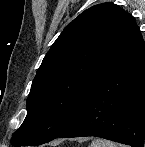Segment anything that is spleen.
Listing matches in <instances>:
<instances>
[{"label":"spleen","instance_id":"obj_1","mask_svg":"<svg viewBox=\"0 0 145 147\" xmlns=\"http://www.w3.org/2000/svg\"><path fill=\"white\" fill-rule=\"evenodd\" d=\"M90 147H117V146L113 142H110L107 140L96 139L92 142Z\"/></svg>","mask_w":145,"mask_h":147}]
</instances>
